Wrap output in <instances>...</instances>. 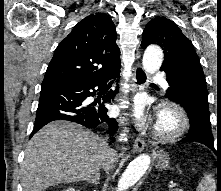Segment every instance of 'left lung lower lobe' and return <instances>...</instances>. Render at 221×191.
Segmentation results:
<instances>
[{
    "label": "left lung lower lobe",
    "instance_id": "obj_1",
    "mask_svg": "<svg viewBox=\"0 0 221 191\" xmlns=\"http://www.w3.org/2000/svg\"><path fill=\"white\" fill-rule=\"evenodd\" d=\"M173 96L169 99L180 104L187 112L190 130L181 142L198 140V134L206 132L210 122L208 92L202 68H193L179 77H167Z\"/></svg>",
    "mask_w": 221,
    "mask_h": 191
}]
</instances>
